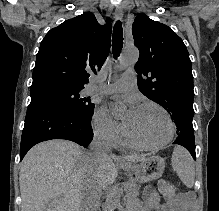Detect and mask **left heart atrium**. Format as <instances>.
<instances>
[{"instance_id": "left-heart-atrium-1", "label": "left heart atrium", "mask_w": 219, "mask_h": 211, "mask_svg": "<svg viewBox=\"0 0 219 211\" xmlns=\"http://www.w3.org/2000/svg\"><path fill=\"white\" fill-rule=\"evenodd\" d=\"M128 103H129V110L127 113V117L130 118L135 113L137 108L134 106V103L132 100H129Z\"/></svg>"}]
</instances>
